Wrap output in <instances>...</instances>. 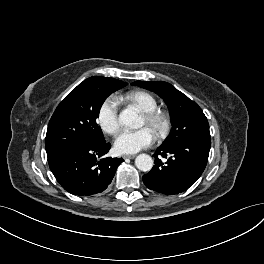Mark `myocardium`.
<instances>
[{
	"instance_id": "obj_1",
	"label": "myocardium",
	"mask_w": 264,
	"mask_h": 264,
	"mask_svg": "<svg viewBox=\"0 0 264 264\" xmlns=\"http://www.w3.org/2000/svg\"><path fill=\"white\" fill-rule=\"evenodd\" d=\"M143 117L147 126L150 127L158 137H165L168 134L170 120L164 111L156 108L154 110L143 112Z\"/></svg>"
}]
</instances>
